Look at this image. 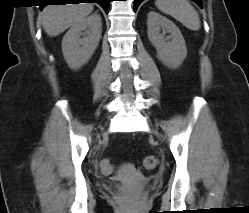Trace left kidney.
I'll use <instances>...</instances> for the list:
<instances>
[{
	"instance_id": "5707ae66",
	"label": "left kidney",
	"mask_w": 249,
	"mask_h": 213,
	"mask_svg": "<svg viewBox=\"0 0 249 213\" xmlns=\"http://www.w3.org/2000/svg\"><path fill=\"white\" fill-rule=\"evenodd\" d=\"M147 28L148 38L156 48L160 61L167 67L178 68L187 56L185 40L179 28L155 11L148 13ZM165 33L170 35L165 38Z\"/></svg>"
}]
</instances>
